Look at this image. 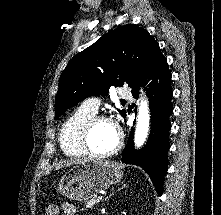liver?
<instances>
[{
  "instance_id": "6515ba94",
  "label": "liver",
  "mask_w": 221,
  "mask_h": 215,
  "mask_svg": "<svg viewBox=\"0 0 221 215\" xmlns=\"http://www.w3.org/2000/svg\"><path fill=\"white\" fill-rule=\"evenodd\" d=\"M83 161L81 160H65L63 162H60L56 165V170H59L63 167H68V166H71L73 164H79V163H82Z\"/></svg>"
}]
</instances>
